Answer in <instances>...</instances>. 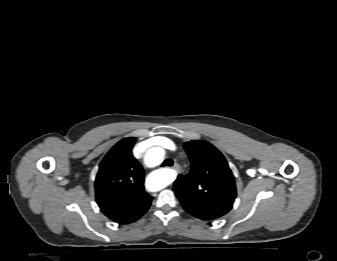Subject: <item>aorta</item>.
Instances as JSON below:
<instances>
[{
  "instance_id": "aorta-1",
  "label": "aorta",
  "mask_w": 337,
  "mask_h": 261,
  "mask_svg": "<svg viewBox=\"0 0 337 261\" xmlns=\"http://www.w3.org/2000/svg\"><path fill=\"white\" fill-rule=\"evenodd\" d=\"M164 150L160 147H152L150 148L144 157L145 164L148 167L158 166L163 162L164 159ZM173 174L171 170H162L158 172V178L160 182L159 188H163L167 185L170 176Z\"/></svg>"
}]
</instances>
